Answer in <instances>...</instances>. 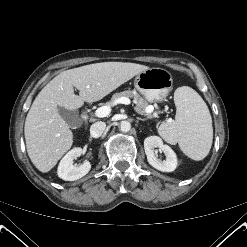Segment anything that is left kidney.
Returning a JSON list of instances; mask_svg holds the SVG:
<instances>
[{"instance_id":"5707ae66","label":"left kidney","mask_w":247,"mask_h":247,"mask_svg":"<svg viewBox=\"0 0 247 247\" xmlns=\"http://www.w3.org/2000/svg\"><path fill=\"white\" fill-rule=\"evenodd\" d=\"M155 148L162 150L166 156V160L162 161L155 155ZM144 149L149 164L155 169L162 172H172L177 167V156L168 145H164L158 136H149L144 140Z\"/></svg>"}]
</instances>
